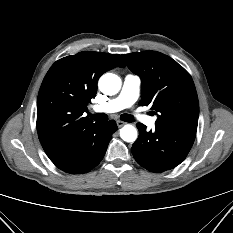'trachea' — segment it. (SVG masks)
Returning <instances> with one entry per match:
<instances>
[{
	"mask_svg": "<svg viewBox=\"0 0 233 233\" xmlns=\"http://www.w3.org/2000/svg\"><path fill=\"white\" fill-rule=\"evenodd\" d=\"M91 118L97 122H105L108 120V116L104 113H97L95 115H91ZM120 119L125 122H133L134 118L129 114H122Z\"/></svg>",
	"mask_w": 233,
	"mask_h": 233,
	"instance_id": "obj_1",
	"label": "trachea"
}]
</instances>
